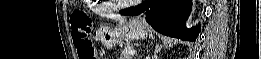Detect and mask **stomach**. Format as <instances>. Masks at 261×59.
Returning a JSON list of instances; mask_svg holds the SVG:
<instances>
[{
  "label": "stomach",
  "instance_id": "1",
  "mask_svg": "<svg viewBox=\"0 0 261 59\" xmlns=\"http://www.w3.org/2000/svg\"><path fill=\"white\" fill-rule=\"evenodd\" d=\"M149 27L138 19L123 21L118 26L112 28L104 25L97 31V38L107 49H113L119 43L132 40H140L148 37Z\"/></svg>",
  "mask_w": 261,
  "mask_h": 59
}]
</instances>
